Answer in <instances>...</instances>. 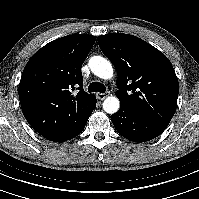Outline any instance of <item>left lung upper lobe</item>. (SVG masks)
I'll return each instance as SVG.
<instances>
[{"label":"left lung upper lobe","instance_id":"5c2ea615","mask_svg":"<svg viewBox=\"0 0 199 199\" xmlns=\"http://www.w3.org/2000/svg\"><path fill=\"white\" fill-rule=\"evenodd\" d=\"M98 43L117 71L116 96L121 104L169 124L176 111L179 83L167 57L129 34L99 36Z\"/></svg>","mask_w":199,"mask_h":199}]
</instances>
